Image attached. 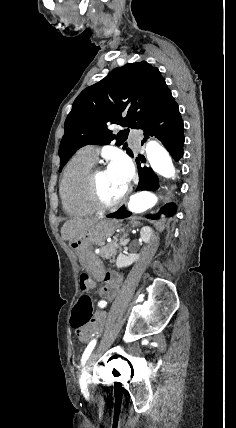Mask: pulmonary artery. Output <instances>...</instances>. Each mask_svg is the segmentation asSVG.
<instances>
[{
	"mask_svg": "<svg viewBox=\"0 0 236 428\" xmlns=\"http://www.w3.org/2000/svg\"><path fill=\"white\" fill-rule=\"evenodd\" d=\"M131 140L135 145H140L141 143V137L140 136H131ZM88 155L92 158V159H96L97 156V151L94 147L89 146L86 148Z\"/></svg>",
	"mask_w": 236,
	"mask_h": 428,
	"instance_id": "obj_1",
	"label": "pulmonary artery"
}]
</instances>
